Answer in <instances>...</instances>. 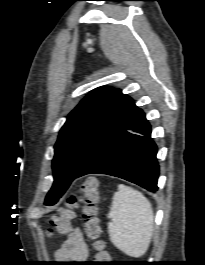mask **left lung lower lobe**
<instances>
[{"mask_svg": "<svg viewBox=\"0 0 205 265\" xmlns=\"http://www.w3.org/2000/svg\"><path fill=\"white\" fill-rule=\"evenodd\" d=\"M141 109L79 171L75 178L98 173L116 176L156 192L159 166L157 146Z\"/></svg>", "mask_w": 205, "mask_h": 265, "instance_id": "1", "label": "left lung lower lobe"}]
</instances>
